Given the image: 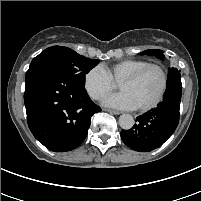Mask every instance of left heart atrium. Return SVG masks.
<instances>
[{
  "label": "left heart atrium",
  "mask_w": 201,
  "mask_h": 201,
  "mask_svg": "<svg viewBox=\"0 0 201 201\" xmlns=\"http://www.w3.org/2000/svg\"><path fill=\"white\" fill-rule=\"evenodd\" d=\"M103 103L106 106L120 110H131L136 108V105L134 104L130 96L123 91L109 95L104 99Z\"/></svg>",
  "instance_id": "left-heart-atrium-1"
}]
</instances>
